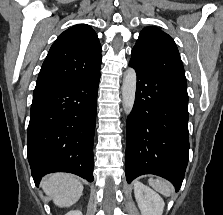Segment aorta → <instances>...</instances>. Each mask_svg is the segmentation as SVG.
I'll use <instances>...</instances> for the list:
<instances>
[{"mask_svg":"<svg viewBox=\"0 0 223 215\" xmlns=\"http://www.w3.org/2000/svg\"><path fill=\"white\" fill-rule=\"evenodd\" d=\"M137 76L133 68H128L124 74L122 84V100L125 113H130L135 102Z\"/></svg>","mask_w":223,"mask_h":215,"instance_id":"aorta-1","label":"aorta"}]
</instances>
